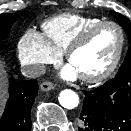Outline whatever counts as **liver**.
Wrapping results in <instances>:
<instances>
[{
    "label": "liver",
    "mask_w": 131,
    "mask_h": 131,
    "mask_svg": "<svg viewBox=\"0 0 131 131\" xmlns=\"http://www.w3.org/2000/svg\"><path fill=\"white\" fill-rule=\"evenodd\" d=\"M6 75L3 69V64L0 61V111L4 101L6 100Z\"/></svg>",
    "instance_id": "obj_1"
}]
</instances>
